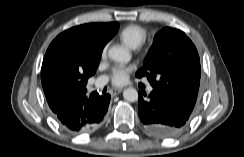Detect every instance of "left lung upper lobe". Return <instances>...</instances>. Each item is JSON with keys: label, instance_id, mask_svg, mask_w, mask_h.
Listing matches in <instances>:
<instances>
[{"label": "left lung upper lobe", "instance_id": "1", "mask_svg": "<svg viewBox=\"0 0 244 157\" xmlns=\"http://www.w3.org/2000/svg\"><path fill=\"white\" fill-rule=\"evenodd\" d=\"M148 75L150 84L194 114L199 101L200 59L184 32L166 27L159 31L136 76Z\"/></svg>", "mask_w": 244, "mask_h": 157}]
</instances>
